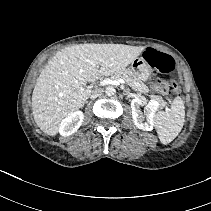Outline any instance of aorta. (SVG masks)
Here are the masks:
<instances>
[{"mask_svg":"<svg viewBox=\"0 0 211 211\" xmlns=\"http://www.w3.org/2000/svg\"><path fill=\"white\" fill-rule=\"evenodd\" d=\"M105 92L108 96H113L116 93V89L112 86H109L106 88Z\"/></svg>","mask_w":211,"mask_h":211,"instance_id":"762f6f07","label":"aorta"}]
</instances>
